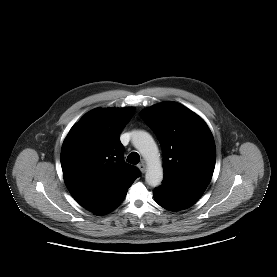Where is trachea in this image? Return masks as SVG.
I'll use <instances>...</instances> for the list:
<instances>
[{
    "label": "trachea",
    "mask_w": 277,
    "mask_h": 277,
    "mask_svg": "<svg viewBox=\"0 0 277 277\" xmlns=\"http://www.w3.org/2000/svg\"><path fill=\"white\" fill-rule=\"evenodd\" d=\"M140 161V156L137 152H132L127 157V162L131 164H138Z\"/></svg>",
    "instance_id": "trachea-1"
}]
</instances>
